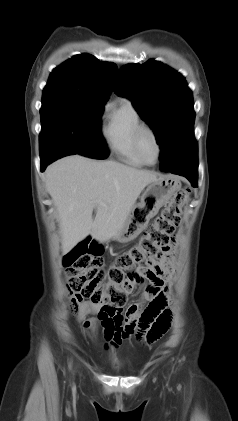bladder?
I'll list each match as a JSON object with an SVG mask.
<instances>
[{
  "label": "bladder",
  "mask_w": 238,
  "mask_h": 421,
  "mask_svg": "<svg viewBox=\"0 0 238 421\" xmlns=\"http://www.w3.org/2000/svg\"><path fill=\"white\" fill-rule=\"evenodd\" d=\"M114 368H116V369H120V366H119V365H117V364H114Z\"/></svg>",
  "instance_id": "obj_1"
}]
</instances>
